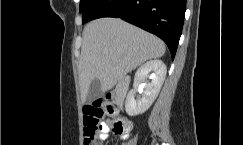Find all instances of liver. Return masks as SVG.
<instances>
[{
    "mask_svg": "<svg viewBox=\"0 0 243 145\" xmlns=\"http://www.w3.org/2000/svg\"><path fill=\"white\" fill-rule=\"evenodd\" d=\"M164 53L162 40L121 19L91 21L83 31L78 64L82 101H86L92 80L98 79L102 91H108L127 73Z\"/></svg>",
    "mask_w": 243,
    "mask_h": 145,
    "instance_id": "obj_1",
    "label": "liver"
}]
</instances>
